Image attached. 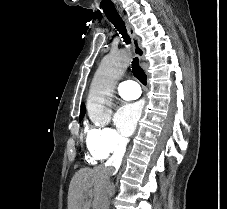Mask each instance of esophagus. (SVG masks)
<instances>
[{
    "label": "esophagus",
    "instance_id": "obj_1",
    "mask_svg": "<svg viewBox=\"0 0 227 209\" xmlns=\"http://www.w3.org/2000/svg\"><path fill=\"white\" fill-rule=\"evenodd\" d=\"M121 18L125 20L126 25L128 27L132 42H133V51L134 54L136 55V57H138L140 60L144 59V55H145V50L143 49V47L141 46V40L140 37L135 33L134 28L132 27V25L128 22L127 18L128 15L127 14H122Z\"/></svg>",
    "mask_w": 227,
    "mask_h": 209
}]
</instances>
